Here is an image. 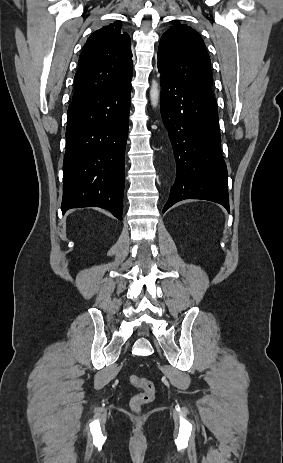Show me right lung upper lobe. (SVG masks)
<instances>
[{"instance_id": "obj_1", "label": "right lung upper lobe", "mask_w": 283, "mask_h": 463, "mask_svg": "<svg viewBox=\"0 0 283 463\" xmlns=\"http://www.w3.org/2000/svg\"><path fill=\"white\" fill-rule=\"evenodd\" d=\"M121 27L120 22H114L88 38L79 57L73 100L126 83L132 78L130 37Z\"/></svg>"}]
</instances>
